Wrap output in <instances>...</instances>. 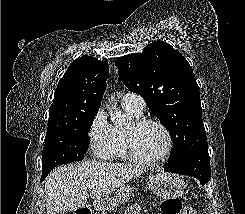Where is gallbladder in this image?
<instances>
[{
    "label": "gallbladder",
    "mask_w": 245,
    "mask_h": 214,
    "mask_svg": "<svg viewBox=\"0 0 245 214\" xmlns=\"http://www.w3.org/2000/svg\"><path fill=\"white\" fill-rule=\"evenodd\" d=\"M56 214H65V213H63V212H57Z\"/></svg>",
    "instance_id": "1"
}]
</instances>
